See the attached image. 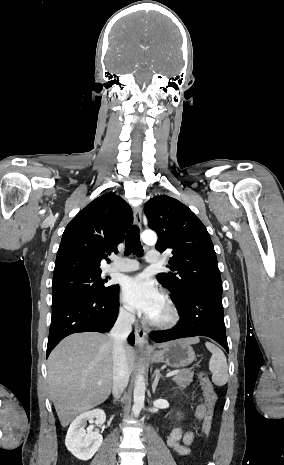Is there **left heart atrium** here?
<instances>
[{
  "label": "left heart atrium",
  "instance_id": "1",
  "mask_svg": "<svg viewBox=\"0 0 284 465\" xmlns=\"http://www.w3.org/2000/svg\"><path fill=\"white\" fill-rule=\"evenodd\" d=\"M123 303L132 311L151 317L163 301V294L145 275L128 278L122 286Z\"/></svg>",
  "mask_w": 284,
  "mask_h": 465
}]
</instances>
